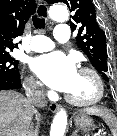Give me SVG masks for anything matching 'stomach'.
<instances>
[{"mask_svg":"<svg viewBox=\"0 0 117 136\" xmlns=\"http://www.w3.org/2000/svg\"><path fill=\"white\" fill-rule=\"evenodd\" d=\"M74 122L76 127L82 131H90L93 129V120L86 115H76Z\"/></svg>","mask_w":117,"mask_h":136,"instance_id":"obj_1","label":"stomach"}]
</instances>
